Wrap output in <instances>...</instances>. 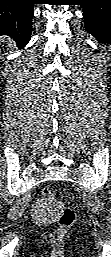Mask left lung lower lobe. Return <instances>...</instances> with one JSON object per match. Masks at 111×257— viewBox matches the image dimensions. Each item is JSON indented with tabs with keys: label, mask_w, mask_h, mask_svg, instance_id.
Listing matches in <instances>:
<instances>
[{
	"label": "left lung lower lobe",
	"mask_w": 111,
	"mask_h": 257,
	"mask_svg": "<svg viewBox=\"0 0 111 257\" xmlns=\"http://www.w3.org/2000/svg\"><path fill=\"white\" fill-rule=\"evenodd\" d=\"M82 6L86 31L111 42V0H85Z\"/></svg>",
	"instance_id": "1"
}]
</instances>
